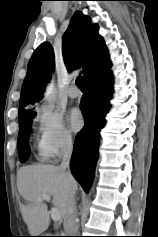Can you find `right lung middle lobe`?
Returning <instances> with one entry per match:
<instances>
[{"mask_svg": "<svg viewBox=\"0 0 158 237\" xmlns=\"http://www.w3.org/2000/svg\"><path fill=\"white\" fill-rule=\"evenodd\" d=\"M35 115L19 118V134L17 140V147L19 152V159L23 163L30 155V148L27 144L30 133V124Z\"/></svg>", "mask_w": 158, "mask_h": 237, "instance_id": "right-lung-middle-lobe-1", "label": "right lung middle lobe"}]
</instances>
